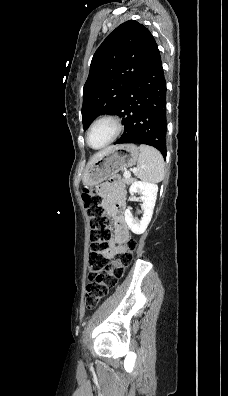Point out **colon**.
Wrapping results in <instances>:
<instances>
[{
    "mask_svg": "<svg viewBox=\"0 0 228 396\" xmlns=\"http://www.w3.org/2000/svg\"><path fill=\"white\" fill-rule=\"evenodd\" d=\"M82 201L91 225L89 267L92 281L85 290V305L91 310L117 284L124 267L132 261V251L136 247V242L132 238L126 240L125 250L118 254V261L110 262L107 257L108 241L111 238L110 220L102 205L101 197L95 189L85 187L82 191Z\"/></svg>",
    "mask_w": 228,
    "mask_h": 396,
    "instance_id": "colon-1",
    "label": "colon"
}]
</instances>
